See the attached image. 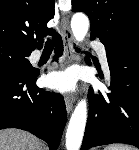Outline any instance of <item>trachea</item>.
<instances>
[{
  "label": "trachea",
  "instance_id": "trachea-1",
  "mask_svg": "<svg viewBox=\"0 0 139 150\" xmlns=\"http://www.w3.org/2000/svg\"><path fill=\"white\" fill-rule=\"evenodd\" d=\"M45 48H47V49H52L53 48V44L51 43V41L49 39L45 43ZM76 50L79 51L78 48H76Z\"/></svg>",
  "mask_w": 139,
  "mask_h": 150
}]
</instances>
